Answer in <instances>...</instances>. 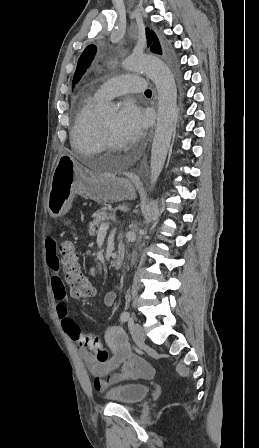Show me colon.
Masks as SVG:
<instances>
[{
	"mask_svg": "<svg viewBox=\"0 0 259 448\" xmlns=\"http://www.w3.org/2000/svg\"><path fill=\"white\" fill-rule=\"evenodd\" d=\"M60 252L65 282L70 289L71 295L78 299L93 297L96 293L95 287L82 272L80 255L74 245L70 242H64L60 246ZM80 345L93 351L98 362L104 363L110 358L109 352L101 347L100 339L97 335H83Z\"/></svg>",
	"mask_w": 259,
	"mask_h": 448,
	"instance_id": "5ec220e1",
	"label": "colon"
}]
</instances>
